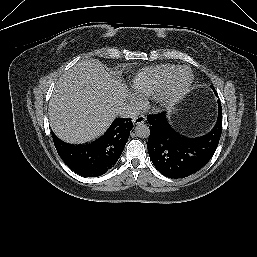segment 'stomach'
I'll use <instances>...</instances> for the list:
<instances>
[{"instance_id":"stomach-1","label":"stomach","mask_w":257,"mask_h":257,"mask_svg":"<svg viewBox=\"0 0 257 257\" xmlns=\"http://www.w3.org/2000/svg\"><path fill=\"white\" fill-rule=\"evenodd\" d=\"M174 109H175V108H174L173 106H169V107H168L169 112L174 111Z\"/></svg>"}]
</instances>
